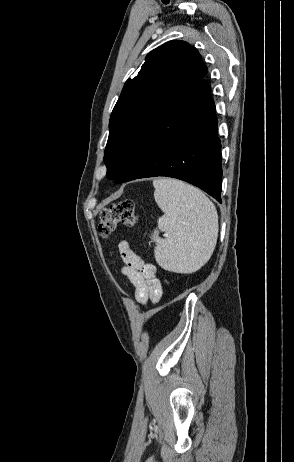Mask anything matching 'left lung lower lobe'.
Here are the masks:
<instances>
[{"mask_svg": "<svg viewBox=\"0 0 294 462\" xmlns=\"http://www.w3.org/2000/svg\"><path fill=\"white\" fill-rule=\"evenodd\" d=\"M168 176L191 183L221 203V145L210 85H186L156 110L114 177L115 183Z\"/></svg>", "mask_w": 294, "mask_h": 462, "instance_id": "0a47b994", "label": "left lung lower lobe"}]
</instances>
